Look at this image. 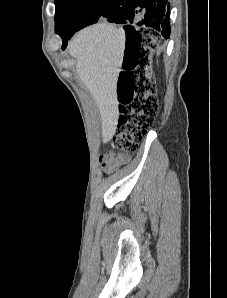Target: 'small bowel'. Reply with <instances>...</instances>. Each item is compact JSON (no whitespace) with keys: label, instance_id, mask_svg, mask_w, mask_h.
<instances>
[{"label":"small bowel","instance_id":"c3829d8e","mask_svg":"<svg viewBox=\"0 0 227 298\" xmlns=\"http://www.w3.org/2000/svg\"><path fill=\"white\" fill-rule=\"evenodd\" d=\"M130 161V155L124 152H107L99 157V162L105 172H112Z\"/></svg>","mask_w":227,"mask_h":298}]
</instances>
